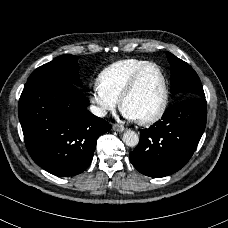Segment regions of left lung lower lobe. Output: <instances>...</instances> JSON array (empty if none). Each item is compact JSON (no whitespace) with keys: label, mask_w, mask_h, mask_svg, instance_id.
Returning <instances> with one entry per match:
<instances>
[{"label":"left lung lower lobe","mask_w":228,"mask_h":228,"mask_svg":"<svg viewBox=\"0 0 228 228\" xmlns=\"http://www.w3.org/2000/svg\"><path fill=\"white\" fill-rule=\"evenodd\" d=\"M206 126V100L191 97L166 110L162 119L140 131L129 155L142 174L164 177L180 170L193 155Z\"/></svg>","instance_id":"left-lung-lower-lobe-1"}]
</instances>
